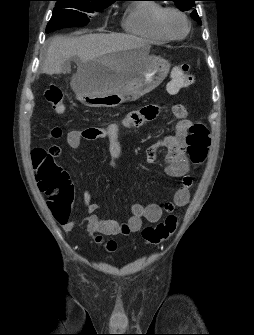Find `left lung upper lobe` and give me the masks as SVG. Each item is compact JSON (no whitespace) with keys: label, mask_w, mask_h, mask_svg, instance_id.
<instances>
[{"label":"left lung upper lobe","mask_w":254,"mask_h":335,"mask_svg":"<svg viewBox=\"0 0 254 335\" xmlns=\"http://www.w3.org/2000/svg\"><path fill=\"white\" fill-rule=\"evenodd\" d=\"M175 2V4L180 7L183 11L192 9L195 6L196 0H169ZM191 17L201 24V20L196 12V10L192 11Z\"/></svg>","instance_id":"left-lung-upper-lobe-1"}]
</instances>
